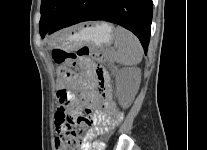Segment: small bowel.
<instances>
[{
  "label": "small bowel",
  "mask_w": 207,
  "mask_h": 150,
  "mask_svg": "<svg viewBox=\"0 0 207 150\" xmlns=\"http://www.w3.org/2000/svg\"><path fill=\"white\" fill-rule=\"evenodd\" d=\"M80 65L83 71L81 76L69 74V77H74L73 90L78 93L85 106L98 109L96 115L98 123L111 130L120 123L122 114L115 111L114 103L110 98L108 75L104 69L97 67L87 58L81 59ZM62 84L65 86V82ZM73 99H76L75 94ZM75 112V109L70 111V115L74 116ZM91 136L92 132L88 134V137ZM82 148L83 150H103L104 143L100 141L92 144L85 142Z\"/></svg>",
  "instance_id": "obj_1"
}]
</instances>
